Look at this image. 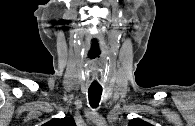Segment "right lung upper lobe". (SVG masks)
I'll use <instances>...</instances> for the list:
<instances>
[{"label": "right lung upper lobe", "instance_id": "obj_1", "mask_svg": "<svg viewBox=\"0 0 195 126\" xmlns=\"http://www.w3.org/2000/svg\"><path fill=\"white\" fill-rule=\"evenodd\" d=\"M43 126H75V122L70 118H55L45 123Z\"/></svg>", "mask_w": 195, "mask_h": 126}]
</instances>
